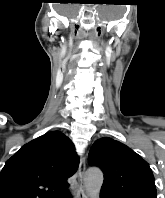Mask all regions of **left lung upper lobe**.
<instances>
[{
	"label": "left lung upper lobe",
	"mask_w": 165,
	"mask_h": 198,
	"mask_svg": "<svg viewBox=\"0 0 165 198\" xmlns=\"http://www.w3.org/2000/svg\"><path fill=\"white\" fill-rule=\"evenodd\" d=\"M88 162L102 169V190L117 198L157 197L148 163L123 143L108 137L98 139L89 151Z\"/></svg>",
	"instance_id": "5c2ea615"
}]
</instances>
